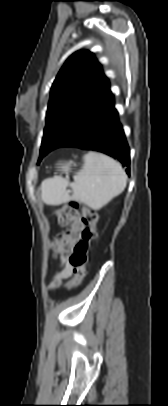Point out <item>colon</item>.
<instances>
[{
    "label": "colon",
    "mask_w": 168,
    "mask_h": 406,
    "mask_svg": "<svg viewBox=\"0 0 168 406\" xmlns=\"http://www.w3.org/2000/svg\"><path fill=\"white\" fill-rule=\"evenodd\" d=\"M58 223L67 230L58 235L54 248L68 258L73 277L66 283L67 289L81 284L86 275V263L91 242L96 237L97 214L86 206L73 201L55 211Z\"/></svg>",
    "instance_id": "5ec220e1"
}]
</instances>
